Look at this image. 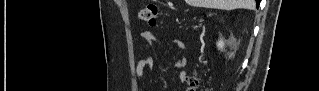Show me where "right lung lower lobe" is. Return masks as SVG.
<instances>
[{"instance_id":"98d812e1","label":"right lung lower lobe","mask_w":319,"mask_h":91,"mask_svg":"<svg viewBox=\"0 0 319 91\" xmlns=\"http://www.w3.org/2000/svg\"><path fill=\"white\" fill-rule=\"evenodd\" d=\"M259 2H260V0H256L257 7L259 6Z\"/></svg>"}]
</instances>
